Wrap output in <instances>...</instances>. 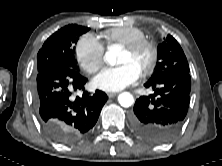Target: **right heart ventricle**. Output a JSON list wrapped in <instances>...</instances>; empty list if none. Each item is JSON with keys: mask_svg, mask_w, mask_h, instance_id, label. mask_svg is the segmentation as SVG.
<instances>
[{"mask_svg": "<svg viewBox=\"0 0 222 166\" xmlns=\"http://www.w3.org/2000/svg\"><path fill=\"white\" fill-rule=\"evenodd\" d=\"M104 38L110 43L127 46L145 40V34L135 27H117L104 33Z\"/></svg>", "mask_w": 222, "mask_h": 166, "instance_id": "right-heart-ventricle-1", "label": "right heart ventricle"}]
</instances>
